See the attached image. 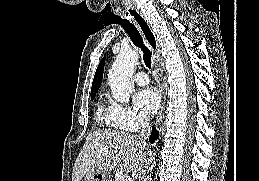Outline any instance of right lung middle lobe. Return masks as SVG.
I'll return each mask as SVG.
<instances>
[{
	"label": "right lung middle lobe",
	"instance_id": "1",
	"mask_svg": "<svg viewBox=\"0 0 259 181\" xmlns=\"http://www.w3.org/2000/svg\"><path fill=\"white\" fill-rule=\"evenodd\" d=\"M95 96L91 97V100H94Z\"/></svg>",
	"mask_w": 259,
	"mask_h": 181
}]
</instances>
